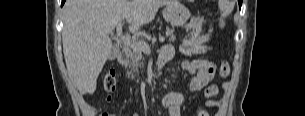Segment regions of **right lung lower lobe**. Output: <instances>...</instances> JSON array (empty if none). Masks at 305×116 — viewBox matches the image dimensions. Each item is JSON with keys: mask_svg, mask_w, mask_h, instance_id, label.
Here are the masks:
<instances>
[{"mask_svg": "<svg viewBox=\"0 0 305 116\" xmlns=\"http://www.w3.org/2000/svg\"><path fill=\"white\" fill-rule=\"evenodd\" d=\"M65 0H62V5L64 4Z\"/></svg>", "mask_w": 305, "mask_h": 116, "instance_id": "right-lung-lower-lobe-1", "label": "right lung lower lobe"}]
</instances>
